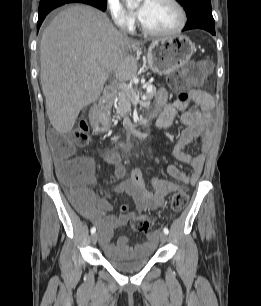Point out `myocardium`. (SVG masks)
Segmentation results:
<instances>
[{
    "mask_svg": "<svg viewBox=\"0 0 261 306\" xmlns=\"http://www.w3.org/2000/svg\"><path fill=\"white\" fill-rule=\"evenodd\" d=\"M169 3H171L178 12V22L176 26H174L170 30H155L150 27H148L138 16L137 17V23L139 28L146 34L152 35V36H172L180 33L187 24V13L183 5L180 3L179 0H167Z\"/></svg>",
    "mask_w": 261,
    "mask_h": 306,
    "instance_id": "myocardium-1",
    "label": "myocardium"
}]
</instances>
